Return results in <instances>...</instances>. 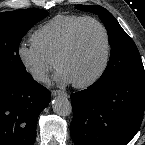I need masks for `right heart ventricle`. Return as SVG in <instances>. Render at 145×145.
Returning <instances> with one entry per match:
<instances>
[{
  "label": "right heart ventricle",
  "instance_id": "e07e8e85",
  "mask_svg": "<svg viewBox=\"0 0 145 145\" xmlns=\"http://www.w3.org/2000/svg\"><path fill=\"white\" fill-rule=\"evenodd\" d=\"M82 17L84 16L57 15L34 31L31 41L47 58L55 62L70 30Z\"/></svg>",
  "mask_w": 145,
  "mask_h": 145
}]
</instances>
